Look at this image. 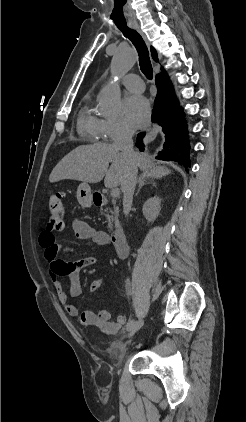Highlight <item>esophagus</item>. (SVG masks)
I'll return each instance as SVG.
<instances>
[{
    "instance_id": "esophagus-1",
    "label": "esophagus",
    "mask_w": 246,
    "mask_h": 422,
    "mask_svg": "<svg viewBox=\"0 0 246 422\" xmlns=\"http://www.w3.org/2000/svg\"><path fill=\"white\" fill-rule=\"evenodd\" d=\"M132 27L145 39V36L142 33V31H141V29H140V27L138 25H133ZM155 133H156V128L153 127V129L148 133L147 141L152 140L153 137L155 136Z\"/></svg>"
}]
</instances>
